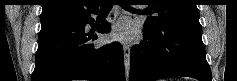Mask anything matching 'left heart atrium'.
I'll list each match as a JSON object with an SVG mask.
<instances>
[{
    "label": "left heart atrium",
    "instance_id": "1",
    "mask_svg": "<svg viewBox=\"0 0 237 81\" xmlns=\"http://www.w3.org/2000/svg\"><path fill=\"white\" fill-rule=\"evenodd\" d=\"M134 34V27L127 19H120L113 26L112 37L117 39H130Z\"/></svg>",
    "mask_w": 237,
    "mask_h": 81
}]
</instances>
